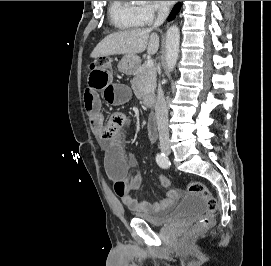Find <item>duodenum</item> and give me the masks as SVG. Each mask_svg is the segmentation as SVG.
<instances>
[{
	"label": "duodenum",
	"mask_w": 271,
	"mask_h": 266,
	"mask_svg": "<svg viewBox=\"0 0 271 266\" xmlns=\"http://www.w3.org/2000/svg\"><path fill=\"white\" fill-rule=\"evenodd\" d=\"M145 101L148 104H153L155 102V96L154 95H147V96H145Z\"/></svg>",
	"instance_id": "obj_1"
}]
</instances>
